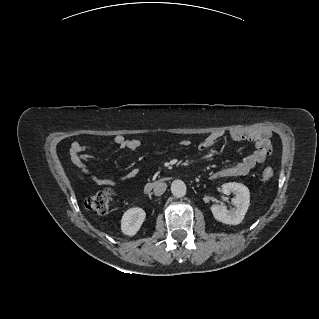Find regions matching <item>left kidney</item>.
<instances>
[{
  "mask_svg": "<svg viewBox=\"0 0 319 319\" xmlns=\"http://www.w3.org/2000/svg\"><path fill=\"white\" fill-rule=\"evenodd\" d=\"M222 192L224 194H234L232 204L235 206L232 210H228L224 205H212L211 211L214 218L228 225H238L242 222L250 205L249 189L236 182H229L222 185Z\"/></svg>",
  "mask_w": 319,
  "mask_h": 319,
  "instance_id": "5707ae66",
  "label": "left kidney"
}]
</instances>
